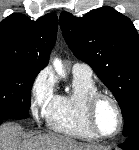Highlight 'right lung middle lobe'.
I'll use <instances>...</instances> for the list:
<instances>
[{
	"label": "right lung middle lobe",
	"mask_w": 139,
	"mask_h": 150,
	"mask_svg": "<svg viewBox=\"0 0 139 150\" xmlns=\"http://www.w3.org/2000/svg\"><path fill=\"white\" fill-rule=\"evenodd\" d=\"M38 73L30 67L0 64V123L28 116L30 92Z\"/></svg>",
	"instance_id": "1"
}]
</instances>
